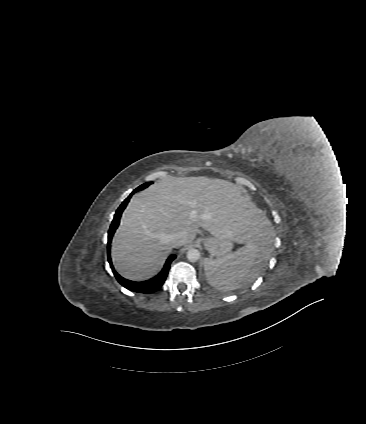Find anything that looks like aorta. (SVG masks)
I'll return each instance as SVG.
<instances>
[{"instance_id":"obj_1","label":"aorta","mask_w":366,"mask_h":424,"mask_svg":"<svg viewBox=\"0 0 366 424\" xmlns=\"http://www.w3.org/2000/svg\"><path fill=\"white\" fill-rule=\"evenodd\" d=\"M187 259L190 262H196L200 259V252L195 248H191L187 251Z\"/></svg>"}]
</instances>
